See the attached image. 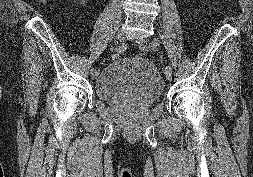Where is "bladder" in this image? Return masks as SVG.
<instances>
[{"label": "bladder", "instance_id": "1", "mask_svg": "<svg viewBox=\"0 0 253 177\" xmlns=\"http://www.w3.org/2000/svg\"><path fill=\"white\" fill-rule=\"evenodd\" d=\"M163 90V80L156 66L134 57L113 60L94 82V94L107 103L130 99L150 106L161 98Z\"/></svg>", "mask_w": 253, "mask_h": 177}]
</instances>
